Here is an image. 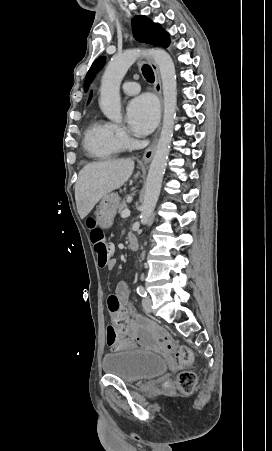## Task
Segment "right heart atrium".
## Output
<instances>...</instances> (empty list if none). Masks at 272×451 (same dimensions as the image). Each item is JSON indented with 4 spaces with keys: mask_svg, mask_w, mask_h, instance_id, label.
I'll return each mask as SVG.
<instances>
[{
    "mask_svg": "<svg viewBox=\"0 0 272 451\" xmlns=\"http://www.w3.org/2000/svg\"><path fill=\"white\" fill-rule=\"evenodd\" d=\"M108 126H109L110 130L112 131L116 141L119 144H124L127 140V134H126L125 129L122 126H120L118 124H114V123L108 124Z\"/></svg>",
    "mask_w": 272,
    "mask_h": 451,
    "instance_id": "d8ad5b80",
    "label": "right heart atrium"
}]
</instances>
